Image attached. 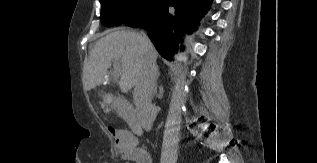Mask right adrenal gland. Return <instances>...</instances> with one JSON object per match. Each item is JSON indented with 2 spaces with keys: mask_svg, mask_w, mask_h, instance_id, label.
Returning <instances> with one entry per match:
<instances>
[{
  "mask_svg": "<svg viewBox=\"0 0 317 163\" xmlns=\"http://www.w3.org/2000/svg\"><path fill=\"white\" fill-rule=\"evenodd\" d=\"M159 76H160V72L158 71L157 76H156V87H157V80H158Z\"/></svg>",
  "mask_w": 317,
  "mask_h": 163,
  "instance_id": "2a0ac1e0",
  "label": "right adrenal gland"
}]
</instances>
